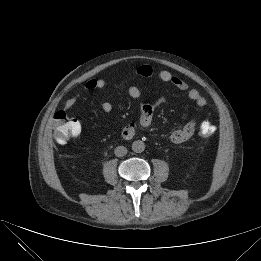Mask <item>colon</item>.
Listing matches in <instances>:
<instances>
[{"label": "colon", "instance_id": "1", "mask_svg": "<svg viewBox=\"0 0 261 261\" xmlns=\"http://www.w3.org/2000/svg\"><path fill=\"white\" fill-rule=\"evenodd\" d=\"M216 128L210 122H205L200 126L199 136L208 139L215 133ZM77 120L69 117L65 112L59 111L53 120V136L59 145H63L79 135Z\"/></svg>", "mask_w": 261, "mask_h": 261}]
</instances>
